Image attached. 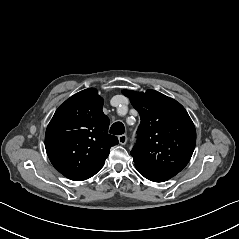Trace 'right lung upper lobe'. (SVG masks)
Masks as SVG:
<instances>
[{
    "mask_svg": "<svg viewBox=\"0 0 239 239\" xmlns=\"http://www.w3.org/2000/svg\"><path fill=\"white\" fill-rule=\"evenodd\" d=\"M102 107L97 90L85 89L61 104L47 127V155L71 180L94 176L103 167L110 148L118 144L117 137L108 134L109 119Z\"/></svg>",
    "mask_w": 239,
    "mask_h": 239,
    "instance_id": "obj_1",
    "label": "right lung upper lobe"
}]
</instances>
